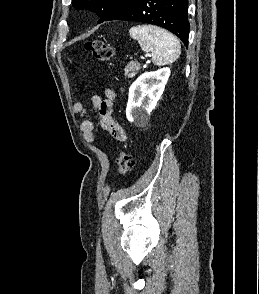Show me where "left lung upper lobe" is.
<instances>
[{
	"mask_svg": "<svg viewBox=\"0 0 259 294\" xmlns=\"http://www.w3.org/2000/svg\"><path fill=\"white\" fill-rule=\"evenodd\" d=\"M127 0H72V5L75 9H86L96 12L100 17L98 23H101L105 18L117 7Z\"/></svg>",
	"mask_w": 259,
	"mask_h": 294,
	"instance_id": "left-lung-upper-lobe-1",
	"label": "left lung upper lobe"
}]
</instances>
